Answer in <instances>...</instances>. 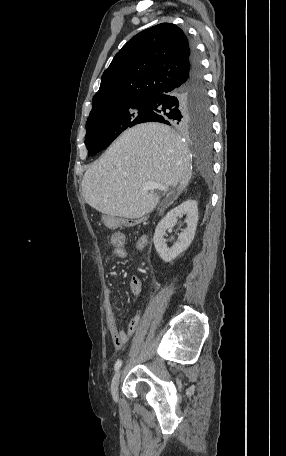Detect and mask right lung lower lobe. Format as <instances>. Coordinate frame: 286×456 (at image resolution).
Masks as SVG:
<instances>
[{
	"mask_svg": "<svg viewBox=\"0 0 286 456\" xmlns=\"http://www.w3.org/2000/svg\"><path fill=\"white\" fill-rule=\"evenodd\" d=\"M152 110L146 122H161L177 128L203 125L210 117L209 101L200 60L192 46L190 68L180 82L147 100Z\"/></svg>",
	"mask_w": 286,
	"mask_h": 456,
	"instance_id": "obj_1",
	"label": "right lung lower lobe"
}]
</instances>
